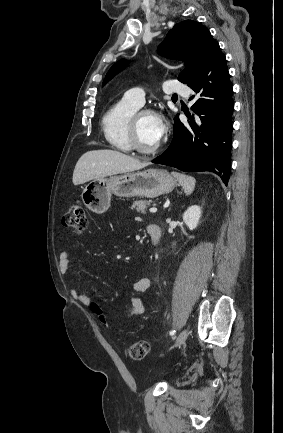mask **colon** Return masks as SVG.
Returning a JSON list of instances; mask_svg holds the SVG:
<instances>
[{"label": "colon", "mask_w": 283, "mask_h": 433, "mask_svg": "<svg viewBox=\"0 0 283 433\" xmlns=\"http://www.w3.org/2000/svg\"><path fill=\"white\" fill-rule=\"evenodd\" d=\"M62 224L65 228L72 230L78 235L85 233L87 229V216L83 204L79 200H75L69 207L67 213L62 219ZM93 311L99 315L100 320L105 323L106 319L102 315L100 308L92 304ZM149 352V343L145 340H140L130 344L126 349V356L131 360H142Z\"/></svg>", "instance_id": "1"}]
</instances>
